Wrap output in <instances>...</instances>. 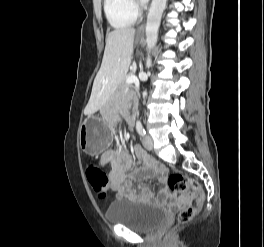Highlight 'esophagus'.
<instances>
[{"mask_svg":"<svg viewBox=\"0 0 264 247\" xmlns=\"http://www.w3.org/2000/svg\"><path fill=\"white\" fill-rule=\"evenodd\" d=\"M144 30V24H142L139 28H138V33H143Z\"/></svg>","mask_w":264,"mask_h":247,"instance_id":"34e87169","label":"esophagus"}]
</instances>
